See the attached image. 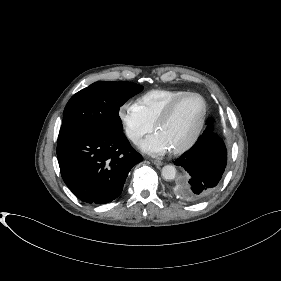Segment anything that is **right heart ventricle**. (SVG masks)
<instances>
[{
  "instance_id": "e07e8e85",
  "label": "right heart ventricle",
  "mask_w": 281,
  "mask_h": 281,
  "mask_svg": "<svg viewBox=\"0 0 281 281\" xmlns=\"http://www.w3.org/2000/svg\"><path fill=\"white\" fill-rule=\"evenodd\" d=\"M187 91L172 89L150 90L137 99V104L141 108L146 118L154 124L159 114L175 98L183 95Z\"/></svg>"
}]
</instances>
